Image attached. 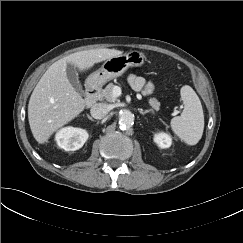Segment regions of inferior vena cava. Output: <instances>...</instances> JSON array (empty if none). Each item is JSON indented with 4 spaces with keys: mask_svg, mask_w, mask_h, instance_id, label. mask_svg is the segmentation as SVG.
Here are the masks:
<instances>
[{
    "mask_svg": "<svg viewBox=\"0 0 243 243\" xmlns=\"http://www.w3.org/2000/svg\"><path fill=\"white\" fill-rule=\"evenodd\" d=\"M90 113L93 118L102 119L107 115L108 109L104 104L97 103L91 107Z\"/></svg>",
    "mask_w": 243,
    "mask_h": 243,
    "instance_id": "602c4592",
    "label": "inferior vena cava"
}]
</instances>
